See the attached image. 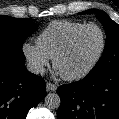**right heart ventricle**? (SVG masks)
Instances as JSON below:
<instances>
[{"instance_id":"1","label":"right heart ventricle","mask_w":119,"mask_h":119,"mask_svg":"<svg viewBox=\"0 0 119 119\" xmlns=\"http://www.w3.org/2000/svg\"><path fill=\"white\" fill-rule=\"evenodd\" d=\"M83 25L69 20L53 21L37 37V45L49 58H53L69 36Z\"/></svg>"}]
</instances>
